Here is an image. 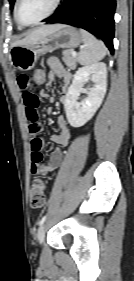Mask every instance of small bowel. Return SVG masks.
Wrapping results in <instances>:
<instances>
[{
	"label": "small bowel",
	"mask_w": 134,
	"mask_h": 281,
	"mask_svg": "<svg viewBox=\"0 0 134 281\" xmlns=\"http://www.w3.org/2000/svg\"><path fill=\"white\" fill-rule=\"evenodd\" d=\"M47 64L50 70L47 74V84L50 85L56 78H60L62 81L61 100L65 101L67 90L71 82V74L56 57H50ZM16 83L21 91L26 117L29 121V132L33 135L31 140L32 153L30 171L34 175H47L57 169L62 163L63 151L66 149L71 137L68 123L63 117L58 118L57 125L59 133L50 136V140L56 145V148L50 154L48 163L42 165L44 141L38 136L42 129L38 113L39 96L47 99L51 103L54 102V98L47 89L41 90L39 96L36 95L34 93V80L28 74L22 73L18 75Z\"/></svg>",
	"instance_id": "small-bowel-1"
}]
</instances>
